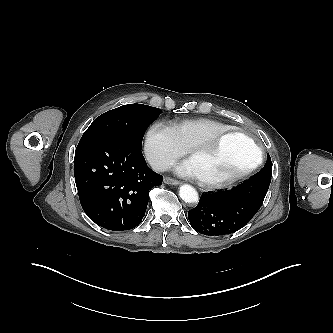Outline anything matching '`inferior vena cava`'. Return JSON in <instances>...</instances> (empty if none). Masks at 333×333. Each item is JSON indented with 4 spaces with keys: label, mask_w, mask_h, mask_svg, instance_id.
<instances>
[{
    "label": "inferior vena cava",
    "mask_w": 333,
    "mask_h": 333,
    "mask_svg": "<svg viewBox=\"0 0 333 333\" xmlns=\"http://www.w3.org/2000/svg\"><path fill=\"white\" fill-rule=\"evenodd\" d=\"M150 165L155 171L164 172L170 168V164L164 160L154 159L150 161Z\"/></svg>",
    "instance_id": "obj_1"
}]
</instances>
